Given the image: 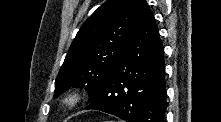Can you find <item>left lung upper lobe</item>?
I'll return each instance as SVG.
<instances>
[{
	"mask_svg": "<svg viewBox=\"0 0 221 122\" xmlns=\"http://www.w3.org/2000/svg\"><path fill=\"white\" fill-rule=\"evenodd\" d=\"M141 0H108L82 25L55 81L54 97L83 87L93 101L117 63L137 18Z\"/></svg>",
	"mask_w": 221,
	"mask_h": 122,
	"instance_id": "5c2ea615",
	"label": "left lung upper lobe"
}]
</instances>
